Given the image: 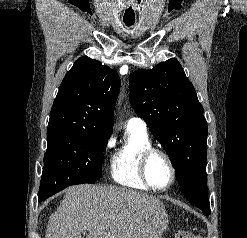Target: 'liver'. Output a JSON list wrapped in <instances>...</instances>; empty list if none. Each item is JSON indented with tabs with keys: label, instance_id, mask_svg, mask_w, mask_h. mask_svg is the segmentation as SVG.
I'll list each match as a JSON object with an SVG mask.
<instances>
[{
	"label": "liver",
	"instance_id": "liver-1",
	"mask_svg": "<svg viewBox=\"0 0 247 238\" xmlns=\"http://www.w3.org/2000/svg\"><path fill=\"white\" fill-rule=\"evenodd\" d=\"M167 213L156 197L117 186L76 185L50 218L46 238H158Z\"/></svg>",
	"mask_w": 247,
	"mask_h": 238
}]
</instances>
